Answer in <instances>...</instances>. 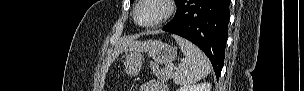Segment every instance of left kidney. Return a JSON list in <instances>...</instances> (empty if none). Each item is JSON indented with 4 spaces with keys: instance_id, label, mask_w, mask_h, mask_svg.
<instances>
[{
    "instance_id": "obj_1",
    "label": "left kidney",
    "mask_w": 304,
    "mask_h": 91,
    "mask_svg": "<svg viewBox=\"0 0 304 91\" xmlns=\"http://www.w3.org/2000/svg\"><path fill=\"white\" fill-rule=\"evenodd\" d=\"M211 85L210 83H201L195 85H184L177 89V91H210Z\"/></svg>"
}]
</instances>
